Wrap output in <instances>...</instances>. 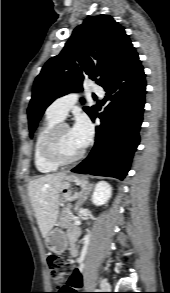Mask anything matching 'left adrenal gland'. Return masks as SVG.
<instances>
[{
    "instance_id": "obj_1",
    "label": "left adrenal gland",
    "mask_w": 170,
    "mask_h": 293,
    "mask_svg": "<svg viewBox=\"0 0 170 293\" xmlns=\"http://www.w3.org/2000/svg\"><path fill=\"white\" fill-rule=\"evenodd\" d=\"M92 188H93V185L91 184V185H90V188H89V190H88V192L86 193V195H85V196L83 197V199L78 203V206H81L83 203H85V202L87 201V199H88V195H89V193L91 192Z\"/></svg>"
}]
</instances>
